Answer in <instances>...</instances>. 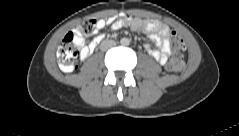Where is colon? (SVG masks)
I'll use <instances>...</instances> for the list:
<instances>
[{
  "instance_id": "colon-1",
  "label": "colon",
  "mask_w": 239,
  "mask_h": 136,
  "mask_svg": "<svg viewBox=\"0 0 239 136\" xmlns=\"http://www.w3.org/2000/svg\"><path fill=\"white\" fill-rule=\"evenodd\" d=\"M97 29L96 19H87L78 24L76 32H69L63 38L58 49V60L61 68L64 71L70 72L75 68L76 61L79 56L81 44L79 37L83 35H91ZM171 47L174 55L169 59L166 68L170 72H180L184 66V59L182 52L186 45L183 38L176 32L171 34Z\"/></svg>"
}]
</instances>
